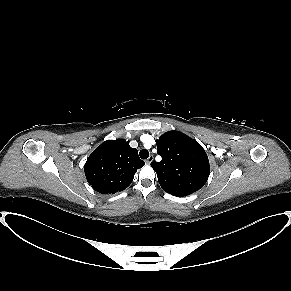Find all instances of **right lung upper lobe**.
Listing matches in <instances>:
<instances>
[{
  "instance_id": "obj_1",
  "label": "right lung upper lobe",
  "mask_w": 291,
  "mask_h": 291,
  "mask_svg": "<svg viewBox=\"0 0 291 291\" xmlns=\"http://www.w3.org/2000/svg\"><path fill=\"white\" fill-rule=\"evenodd\" d=\"M145 165L138 151L125 139L108 140L87 158L85 175L92 188L103 194H114L126 189L137 169Z\"/></svg>"
}]
</instances>
